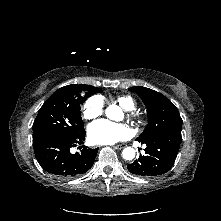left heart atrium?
<instances>
[{
	"label": "left heart atrium",
	"mask_w": 221,
	"mask_h": 221,
	"mask_svg": "<svg viewBox=\"0 0 221 221\" xmlns=\"http://www.w3.org/2000/svg\"><path fill=\"white\" fill-rule=\"evenodd\" d=\"M126 126L107 120H99L88 127V139L93 144H114L129 136Z\"/></svg>",
	"instance_id": "obj_1"
}]
</instances>
